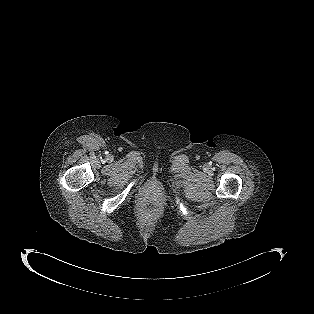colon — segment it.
Listing matches in <instances>:
<instances>
[{
	"mask_svg": "<svg viewBox=\"0 0 314 314\" xmlns=\"http://www.w3.org/2000/svg\"><path fill=\"white\" fill-rule=\"evenodd\" d=\"M144 210L148 213V214H154L156 212V207L153 203H146L144 206Z\"/></svg>",
	"mask_w": 314,
	"mask_h": 314,
	"instance_id": "1",
	"label": "colon"
}]
</instances>
